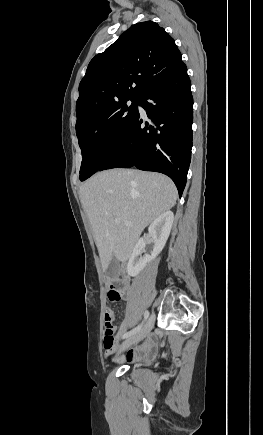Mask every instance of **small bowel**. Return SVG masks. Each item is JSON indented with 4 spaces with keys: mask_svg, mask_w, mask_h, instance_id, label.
I'll use <instances>...</instances> for the list:
<instances>
[{
    "mask_svg": "<svg viewBox=\"0 0 263 435\" xmlns=\"http://www.w3.org/2000/svg\"><path fill=\"white\" fill-rule=\"evenodd\" d=\"M108 312L113 320V312L110 309H107L105 313ZM134 326V321L131 318H125L115 336V348L116 349L120 339H122L123 335L127 332H130ZM133 330V329H132ZM156 346V338L154 336H149L145 338L137 347L130 349L123 357L122 360L134 361L138 359L145 358L148 356ZM114 350H105L106 355H110Z\"/></svg>",
    "mask_w": 263,
    "mask_h": 435,
    "instance_id": "obj_1",
    "label": "small bowel"
}]
</instances>
